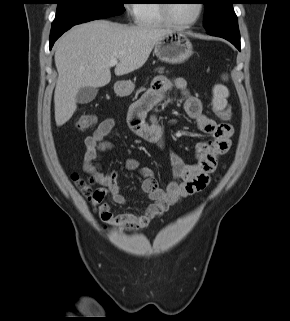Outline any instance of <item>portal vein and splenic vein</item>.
Instances as JSON below:
<instances>
[{
    "mask_svg": "<svg viewBox=\"0 0 290 321\" xmlns=\"http://www.w3.org/2000/svg\"><path fill=\"white\" fill-rule=\"evenodd\" d=\"M117 63H118L117 59H111L108 63V66H110V67L115 66V65H117Z\"/></svg>",
    "mask_w": 290,
    "mask_h": 321,
    "instance_id": "1",
    "label": "portal vein and splenic vein"
}]
</instances>
